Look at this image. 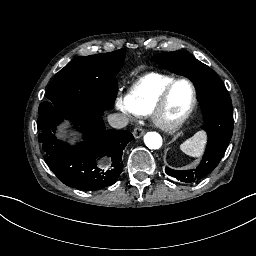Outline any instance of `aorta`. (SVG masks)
Returning <instances> with one entry per match:
<instances>
[{"label":"aorta","instance_id":"aorta-1","mask_svg":"<svg viewBox=\"0 0 256 256\" xmlns=\"http://www.w3.org/2000/svg\"><path fill=\"white\" fill-rule=\"evenodd\" d=\"M144 143L149 149H159L162 146L163 139L157 132H147L144 135Z\"/></svg>","mask_w":256,"mask_h":256}]
</instances>
